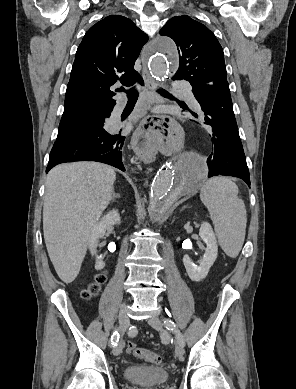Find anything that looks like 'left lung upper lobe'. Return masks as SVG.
<instances>
[{"instance_id": "5c2ea615", "label": "left lung upper lobe", "mask_w": 296, "mask_h": 389, "mask_svg": "<svg viewBox=\"0 0 296 389\" xmlns=\"http://www.w3.org/2000/svg\"><path fill=\"white\" fill-rule=\"evenodd\" d=\"M160 35L172 38L179 52V68L174 79L187 80L191 85L228 83L224 53L215 35L189 16L171 18Z\"/></svg>"}]
</instances>
